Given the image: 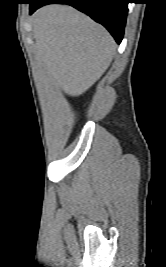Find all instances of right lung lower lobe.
Returning a JSON list of instances; mask_svg holds the SVG:
<instances>
[{
    "label": "right lung lower lobe",
    "instance_id": "98d812e1",
    "mask_svg": "<svg viewBox=\"0 0 166 267\" xmlns=\"http://www.w3.org/2000/svg\"><path fill=\"white\" fill-rule=\"evenodd\" d=\"M68 4L101 23L120 44L128 12V0H32L30 14L46 4Z\"/></svg>",
    "mask_w": 166,
    "mask_h": 267
}]
</instances>
